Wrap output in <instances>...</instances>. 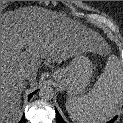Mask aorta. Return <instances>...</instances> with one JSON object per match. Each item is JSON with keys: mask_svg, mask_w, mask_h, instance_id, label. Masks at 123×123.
Wrapping results in <instances>:
<instances>
[{"mask_svg": "<svg viewBox=\"0 0 123 123\" xmlns=\"http://www.w3.org/2000/svg\"><path fill=\"white\" fill-rule=\"evenodd\" d=\"M54 91L53 88L49 85L41 87L39 90V97L44 101H49L53 98Z\"/></svg>", "mask_w": 123, "mask_h": 123, "instance_id": "aorta-1", "label": "aorta"}]
</instances>
